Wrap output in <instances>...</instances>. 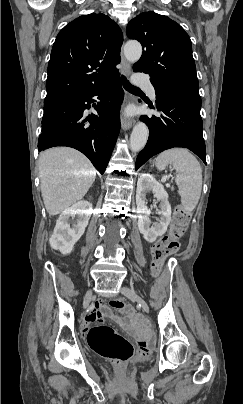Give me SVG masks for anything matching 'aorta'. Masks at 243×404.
I'll list each match as a JSON object with an SVG mask.
<instances>
[{"instance_id": "762f6f07", "label": "aorta", "mask_w": 243, "mask_h": 404, "mask_svg": "<svg viewBox=\"0 0 243 404\" xmlns=\"http://www.w3.org/2000/svg\"><path fill=\"white\" fill-rule=\"evenodd\" d=\"M123 50L124 58L127 62H130V64H135V62H138L139 58L142 56V46L139 42H136V40H129V42H126ZM148 136V126L143 124V122H137L130 136L131 152H141L147 144Z\"/></svg>"}]
</instances>
